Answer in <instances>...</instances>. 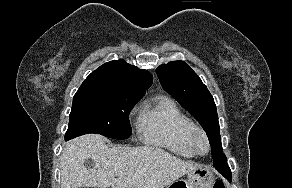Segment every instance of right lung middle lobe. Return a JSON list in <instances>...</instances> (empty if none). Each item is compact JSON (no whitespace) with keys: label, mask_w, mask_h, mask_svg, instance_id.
<instances>
[{"label":"right lung middle lobe","mask_w":292,"mask_h":188,"mask_svg":"<svg viewBox=\"0 0 292 188\" xmlns=\"http://www.w3.org/2000/svg\"><path fill=\"white\" fill-rule=\"evenodd\" d=\"M141 96L98 85H81L73 98L65 140L98 133L127 139L132 129L129 113Z\"/></svg>","instance_id":"right-lung-middle-lobe-1"}]
</instances>
